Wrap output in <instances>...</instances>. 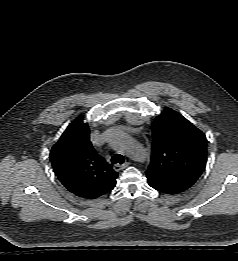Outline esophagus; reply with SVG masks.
Returning <instances> with one entry per match:
<instances>
[{
  "instance_id": "1",
  "label": "esophagus",
  "mask_w": 238,
  "mask_h": 261,
  "mask_svg": "<svg viewBox=\"0 0 238 261\" xmlns=\"http://www.w3.org/2000/svg\"><path fill=\"white\" fill-rule=\"evenodd\" d=\"M130 165V162H125L124 164H116V165H114V167H113V169L115 170V171H120V170H123V169H125L126 167H128Z\"/></svg>"
}]
</instances>
